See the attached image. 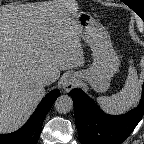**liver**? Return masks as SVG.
I'll return each instance as SVG.
<instances>
[{
    "label": "liver",
    "instance_id": "6515ba94",
    "mask_svg": "<svg viewBox=\"0 0 144 144\" xmlns=\"http://www.w3.org/2000/svg\"><path fill=\"white\" fill-rule=\"evenodd\" d=\"M75 0L0 11V133L20 128L45 95L40 80L84 64ZM56 79V80H57Z\"/></svg>",
    "mask_w": 144,
    "mask_h": 144
}]
</instances>
